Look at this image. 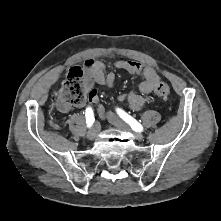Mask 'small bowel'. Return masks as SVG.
I'll return each mask as SVG.
<instances>
[{
    "label": "small bowel",
    "mask_w": 221,
    "mask_h": 221,
    "mask_svg": "<svg viewBox=\"0 0 221 221\" xmlns=\"http://www.w3.org/2000/svg\"><path fill=\"white\" fill-rule=\"evenodd\" d=\"M85 64L96 83L105 85L108 88L114 86L115 74L111 71H107V67L103 62L89 59ZM113 67L115 69L125 70L133 75L143 76V81L139 86L140 93L130 92L119 96V100L126 101L132 109L139 110L146 103L144 95L150 94L159 83L160 77L158 73L151 66L145 65L136 60H119L113 64ZM99 94L100 89L97 86H92L89 89L88 101L90 105L99 104ZM58 108L63 112H67L72 108V105L59 100Z\"/></svg>",
    "instance_id": "c3829d8e"
}]
</instances>
